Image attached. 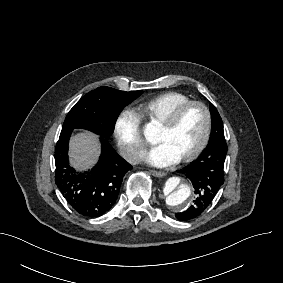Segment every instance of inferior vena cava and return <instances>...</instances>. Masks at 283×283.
I'll return each mask as SVG.
<instances>
[{
	"instance_id": "1",
	"label": "inferior vena cava",
	"mask_w": 283,
	"mask_h": 283,
	"mask_svg": "<svg viewBox=\"0 0 283 283\" xmlns=\"http://www.w3.org/2000/svg\"><path fill=\"white\" fill-rule=\"evenodd\" d=\"M146 152L138 147H129V159L131 164H137L144 157Z\"/></svg>"
}]
</instances>
